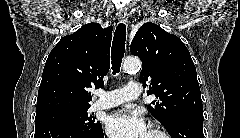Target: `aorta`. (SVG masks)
<instances>
[{"instance_id":"1","label":"aorta","mask_w":240,"mask_h":138,"mask_svg":"<svg viewBox=\"0 0 240 138\" xmlns=\"http://www.w3.org/2000/svg\"><path fill=\"white\" fill-rule=\"evenodd\" d=\"M141 67V62L138 58L128 57L123 63V70L125 72H131L139 70Z\"/></svg>"}]
</instances>
